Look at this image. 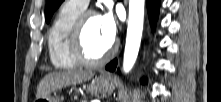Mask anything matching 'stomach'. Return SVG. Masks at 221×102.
Wrapping results in <instances>:
<instances>
[{
    "mask_svg": "<svg viewBox=\"0 0 221 102\" xmlns=\"http://www.w3.org/2000/svg\"><path fill=\"white\" fill-rule=\"evenodd\" d=\"M86 90L91 95L110 93L114 89V81L106 76L95 78L89 85L85 86ZM63 98H53L50 95L47 97L38 98L36 102H62Z\"/></svg>",
    "mask_w": 221,
    "mask_h": 102,
    "instance_id": "obj_1",
    "label": "stomach"
}]
</instances>
